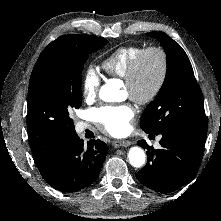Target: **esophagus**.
<instances>
[{
    "mask_svg": "<svg viewBox=\"0 0 221 221\" xmlns=\"http://www.w3.org/2000/svg\"><path fill=\"white\" fill-rule=\"evenodd\" d=\"M112 144L115 148L127 147V146L131 145V141H129V140H114L112 142Z\"/></svg>",
    "mask_w": 221,
    "mask_h": 221,
    "instance_id": "1",
    "label": "esophagus"
}]
</instances>
